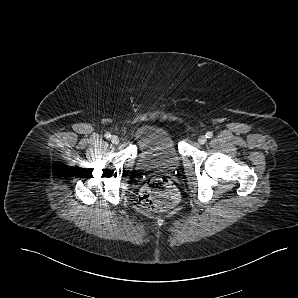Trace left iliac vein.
<instances>
[{"label":"left iliac vein","mask_w":298,"mask_h":298,"mask_svg":"<svg viewBox=\"0 0 298 298\" xmlns=\"http://www.w3.org/2000/svg\"><path fill=\"white\" fill-rule=\"evenodd\" d=\"M206 141H207V138H206V136H204V135H202V136H200V137L198 138V142H199L200 144H205Z\"/></svg>","instance_id":"1"}]
</instances>
